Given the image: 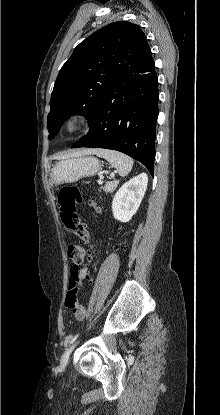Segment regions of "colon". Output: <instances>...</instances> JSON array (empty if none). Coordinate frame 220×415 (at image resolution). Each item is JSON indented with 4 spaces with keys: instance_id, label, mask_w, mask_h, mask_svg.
<instances>
[{
    "instance_id": "5ec220e1",
    "label": "colon",
    "mask_w": 220,
    "mask_h": 415,
    "mask_svg": "<svg viewBox=\"0 0 220 415\" xmlns=\"http://www.w3.org/2000/svg\"><path fill=\"white\" fill-rule=\"evenodd\" d=\"M82 200V194L76 187H64L61 189L58 202L60 217L63 224L81 239L79 243L70 244L67 248L69 259L73 262L70 273V281L66 297L67 308H76L79 312H86L78 300L79 289L82 284L79 265L89 254L90 237L85 226L79 221L76 214V205Z\"/></svg>"
}]
</instances>
